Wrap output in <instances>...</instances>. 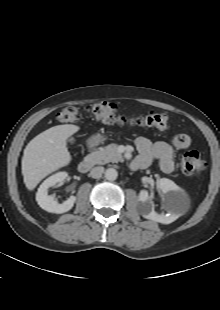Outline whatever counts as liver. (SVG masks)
I'll use <instances>...</instances> for the list:
<instances>
[{"label": "liver", "mask_w": 220, "mask_h": 310, "mask_svg": "<svg viewBox=\"0 0 220 310\" xmlns=\"http://www.w3.org/2000/svg\"><path fill=\"white\" fill-rule=\"evenodd\" d=\"M79 129L72 124L57 125L28 143L22 157V175L28 190H33L47 175L70 163L66 140Z\"/></svg>", "instance_id": "liver-1"}]
</instances>
